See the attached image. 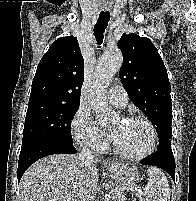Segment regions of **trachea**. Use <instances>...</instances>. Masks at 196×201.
I'll return each instance as SVG.
<instances>
[{"label": "trachea", "mask_w": 196, "mask_h": 201, "mask_svg": "<svg viewBox=\"0 0 196 201\" xmlns=\"http://www.w3.org/2000/svg\"><path fill=\"white\" fill-rule=\"evenodd\" d=\"M110 20L109 11H101L97 23L94 28V35L96 37L97 44L103 43L104 32Z\"/></svg>", "instance_id": "1"}]
</instances>
